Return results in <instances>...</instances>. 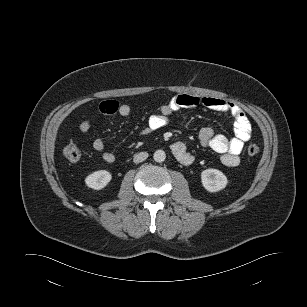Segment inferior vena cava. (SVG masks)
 Returning <instances> with one entry per match:
<instances>
[{"mask_svg":"<svg viewBox=\"0 0 307 307\" xmlns=\"http://www.w3.org/2000/svg\"><path fill=\"white\" fill-rule=\"evenodd\" d=\"M147 158H148L147 152H140L134 155L133 161L134 163H140L146 160Z\"/></svg>","mask_w":307,"mask_h":307,"instance_id":"1","label":"inferior vena cava"}]
</instances>
